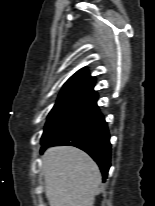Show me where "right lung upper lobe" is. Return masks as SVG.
I'll use <instances>...</instances> for the list:
<instances>
[{"label": "right lung upper lobe", "instance_id": "1", "mask_svg": "<svg viewBox=\"0 0 155 206\" xmlns=\"http://www.w3.org/2000/svg\"><path fill=\"white\" fill-rule=\"evenodd\" d=\"M95 79L91 77L85 68L77 71L68 81L64 84L63 89H74V88H94Z\"/></svg>", "mask_w": 155, "mask_h": 206}]
</instances>
